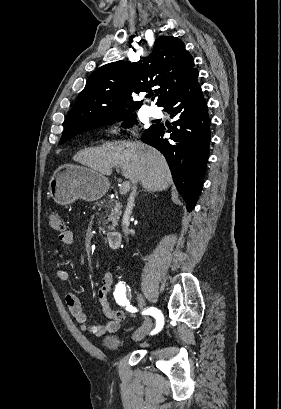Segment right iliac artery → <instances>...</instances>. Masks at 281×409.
<instances>
[{
  "instance_id": "obj_1",
  "label": "right iliac artery",
  "mask_w": 281,
  "mask_h": 409,
  "mask_svg": "<svg viewBox=\"0 0 281 409\" xmlns=\"http://www.w3.org/2000/svg\"><path fill=\"white\" fill-rule=\"evenodd\" d=\"M114 298L116 302L121 306H129L130 299H131V289L130 287L123 281L118 282L114 290ZM143 314H150L152 315L157 322L156 329L153 331V334L159 332L163 326L164 319L162 313L154 307L146 309L142 312Z\"/></svg>"
}]
</instances>
